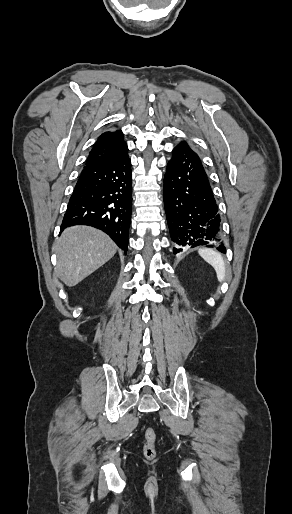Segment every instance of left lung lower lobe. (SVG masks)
I'll return each instance as SVG.
<instances>
[{
    "label": "left lung lower lobe",
    "instance_id": "1",
    "mask_svg": "<svg viewBox=\"0 0 292 514\" xmlns=\"http://www.w3.org/2000/svg\"><path fill=\"white\" fill-rule=\"evenodd\" d=\"M172 153L163 195L174 253L187 246L217 247L225 253L218 206L200 157L185 141Z\"/></svg>",
    "mask_w": 292,
    "mask_h": 514
}]
</instances>
